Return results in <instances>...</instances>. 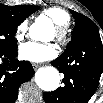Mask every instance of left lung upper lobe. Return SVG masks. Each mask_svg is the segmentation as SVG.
<instances>
[{
    "mask_svg": "<svg viewBox=\"0 0 103 103\" xmlns=\"http://www.w3.org/2000/svg\"><path fill=\"white\" fill-rule=\"evenodd\" d=\"M70 12L75 19V27L72 33L71 41L68 43L63 55L74 50L88 33L99 32L97 25L91 19L76 11L71 10Z\"/></svg>",
    "mask_w": 103,
    "mask_h": 103,
    "instance_id": "5c2ea615",
    "label": "left lung upper lobe"
}]
</instances>
